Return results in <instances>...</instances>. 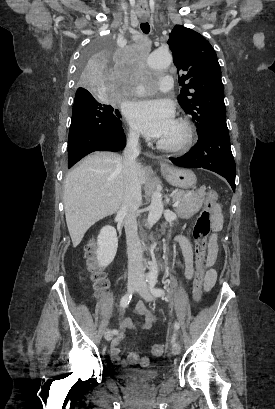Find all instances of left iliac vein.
<instances>
[{
    "label": "left iliac vein",
    "mask_w": 275,
    "mask_h": 409,
    "mask_svg": "<svg viewBox=\"0 0 275 409\" xmlns=\"http://www.w3.org/2000/svg\"><path fill=\"white\" fill-rule=\"evenodd\" d=\"M137 292L140 294L142 298H144L147 302H151L154 300L153 295L150 293L147 285L141 284V286L138 288ZM181 349L180 346L177 342H174L172 345V353L174 355H178L180 353Z\"/></svg>",
    "instance_id": "1"
}]
</instances>
